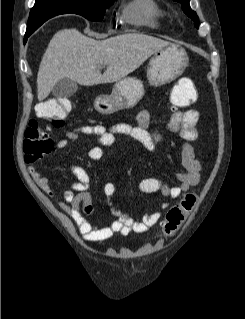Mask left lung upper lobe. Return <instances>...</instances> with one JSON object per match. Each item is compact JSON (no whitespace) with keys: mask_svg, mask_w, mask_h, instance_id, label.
Segmentation results:
<instances>
[{"mask_svg":"<svg viewBox=\"0 0 245 319\" xmlns=\"http://www.w3.org/2000/svg\"><path fill=\"white\" fill-rule=\"evenodd\" d=\"M177 2L181 3L182 9L196 24V27H199V18L197 14L191 10L189 6V0H176Z\"/></svg>","mask_w":245,"mask_h":319,"instance_id":"1","label":"left lung upper lobe"}]
</instances>
